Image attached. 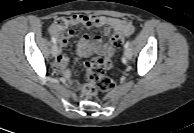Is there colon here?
<instances>
[{
  "instance_id": "5ec220e1",
  "label": "colon",
  "mask_w": 194,
  "mask_h": 133,
  "mask_svg": "<svg viewBox=\"0 0 194 133\" xmlns=\"http://www.w3.org/2000/svg\"><path fill=\"white\" fill-rule=\"evenodd\" d=\"M69 25L67 18H59L55 21L54 26L58 31L64 30ZM128 35L115 33L111 38L114 48H120ZM104 60L99 57L91 59L86 64V76L88 82L82 88V97L90 99L94 96L96 89L109 91L115 86V81L106 76L103 71Z\"/></svg>"
}]
</instances>
